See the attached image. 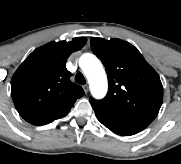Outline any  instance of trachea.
I'll return each instance as SVG.
<instances>
[{
    "mask_svg": "<svg viewBox=\"0 0 181 164\" xmlns=\"http://www.w3.org/2000/svg\"><path fill=\"white\" fill-rule=\"evenodd\" d=\"M75 81L79 84H85L86 80L81 72H78L75 76Z\"/></svg>",
    "mask_w": 181,
    "mask_h": 164,
    "instance_id": "1",
    "label": "trachea"
}]
</instances>
